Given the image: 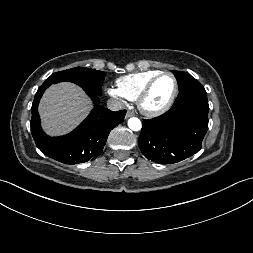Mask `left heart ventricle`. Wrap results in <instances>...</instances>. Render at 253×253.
Instances as JSON below:
<instances>
[{"label": "left heart ventricle", "mask_w": 253, "mask_h": 253, "mask_svg": "<svg viewBox=\"0 0 253 253\" xmlns=\"http://www.w3.org/2000/svg\"><path fill=\"white\" fill-rule=\"evenodd\" d=\"M174 87L172 77L165 75L154 84L147 100L146 106L151 109L159 108L166 103Z\"/></svg>", "instance_id": "left-heart-ventricle-1"}]
</instances>
